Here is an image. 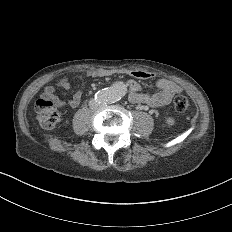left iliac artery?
Wrapping results in <instances>:
<instances>
[{"label":"left iliac artery","instance_id":"left-iliac-artery-1","mask_svg":"<svg viewBox=\"0 0 232 232\" xmlns=\"http://www.w3.org/2000/svg\"><path fill=\"white\" fill-rule=\"evenodd\" d=\"M117 99H118L117 92L115 91L110 92L109 98H108L109 103L114 104L116 103Z\"/></svg>","mask_w":232,"mask_h":232}]
</instances>
